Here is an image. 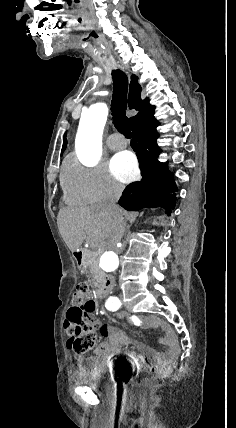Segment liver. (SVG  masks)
<instances>
[{"instance_id":"6515ba94","label":"liver","mask_w":236,"mask_h":428,"mask_svg":"<svg viewBox=\"0 0 236 428\" xmlns=\"http://www.w3.org/2000/svg\"><path fill=\"white\" fill-rule=\"evenodd\" d=\"M57 224L71 252H76L84 240L103 250H112L120 244L126 226L123 218L115 216L107 206L100 204L85 208H64L58 214Z\"/></svg>"}]
</instances>
